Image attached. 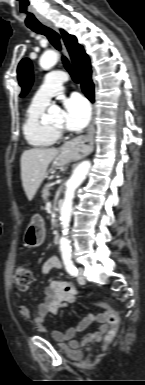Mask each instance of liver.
<instances>
[{
	"label": "liver",
	"mask_w": 145,
	"mask_h": 385,
	"mask_svg": "<svg viewBox=\"0 0 145 385\" xmlns=\"http://www.w3.org/2000/svg\"><path fill=\"white\" fill-rule=\"evenodd\" d=\"M56 148H32L21 155V180L29 201L33 199L43 182L47 168L57 156Z\"/></svg>",
	"instance_id": "liver-1"
}]
</instances>
